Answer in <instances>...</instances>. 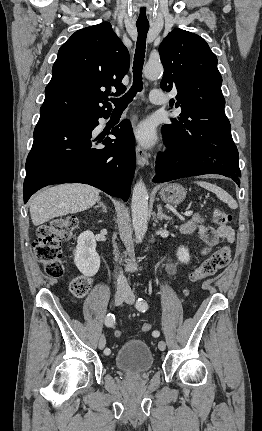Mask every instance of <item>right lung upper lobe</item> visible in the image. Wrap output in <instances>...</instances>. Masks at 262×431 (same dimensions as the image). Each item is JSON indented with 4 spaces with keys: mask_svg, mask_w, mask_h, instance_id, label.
<instances>
[{
    "mask_svg": "<svg viewBox=\"0 0 262 431\" xmlns=\"http://www.w3.org/2000/svg\"><path fill=\"white\" fill-rule=\"evenodd\" d=\"M129 64V52L110 23L76 31L58 51L40 118L109 115L111 88L117 93L125 88L121 81Z\"/></svg>",
    "mask_w": 262,
    "mask_h": 431,
    "instance_id": "cb5924a9",
    "label": "right lung upper lobe"
}]
</instances>
